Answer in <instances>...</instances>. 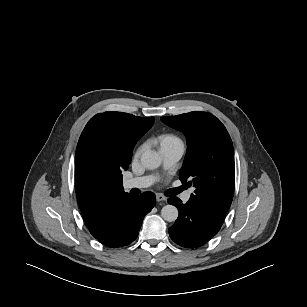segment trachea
<instances>
[{
  "mask_svg": "<svg viewBox=\"0 0 307 307\" xmlns=\"http://www.w3.org/2000/svg\"><path fill=\"white\" fill-rule=\"evenodd\" d=\"M183 189H184L183 187H180V188L175 189L174 195L178 194V193L181 192Z\"/></svg>",
  "mask_w": 307,
  "mask_h": 307,
  "instance_id": "1",
  "label": "trachea"
}]
</instances>
